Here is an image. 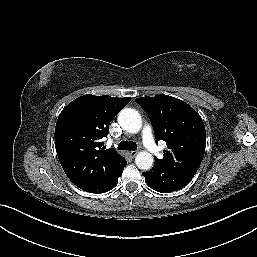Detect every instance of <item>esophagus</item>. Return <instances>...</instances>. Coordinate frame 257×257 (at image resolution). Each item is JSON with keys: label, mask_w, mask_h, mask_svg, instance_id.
Listing matches in <instances>:
<instances>
[{"label": "esophagus", "mask_w": 257, "mask_h": 257, "mask_svg": "<svg viewBox=\"0 0 257 257\" xmlns=\"http://www.w3.org/2000/svg\"><path fill=\"white\" fill-rule=\"evenodd\" d=\"M128 154L134 158L137 155V151H129Z\"/></svg>", "instance_id": "esophagus-1"}]
</instances>
